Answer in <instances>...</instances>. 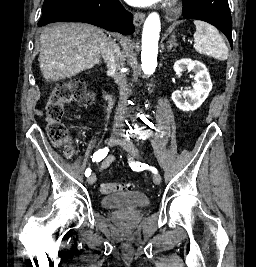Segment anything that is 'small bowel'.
I'll use <instances>...</instances> for the list:
<instances>
[{"label":"small bowel","instance_id":"1","mask_svg":"<svg viewBox=\"0 0 256 267\" xmlns=\"http://www.w3.org/2000/svg\"><path fill=\"white\" fill-rule=\"evenodd\" d=\"M115 158L113 156H107L105 157L99 166V171L103 172L104 170H106L113 162H114Z\"/></svg>","mask_w":256,"mask_h":267}]
</instances>
